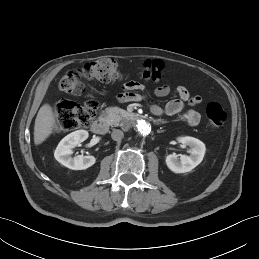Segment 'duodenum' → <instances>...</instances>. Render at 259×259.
Listing matches in <instances>:
<instances>
[{
    "mask_svg": "<svg viewBox=\"0 0 259 259\" xmlns=\"http://www.w3.org/2000/svg\"><path fill=\"white\" fill-rule=\"evenodd\" d=\"M128 118L133 122H137L139 120V117L135 113H129ZM92 130L98 135H104L108 130L107 120L103 117L97 118L92 124Z\"/></svg>",
    "mask_w": 259,
    "mask_h": 259,
    "instance_id": "obj_1",
    "label": "duodenum"
}]
</instances>
